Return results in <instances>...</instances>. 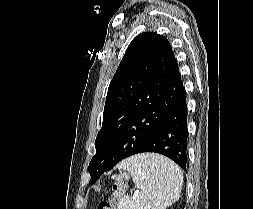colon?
Segmentation results:
<instances>
[{
	"instance_id": "5ec220e1",
	"label": "colon",
	"mask_w": 253,
	"mask_h": 209,
	"mask_svg": "<svg viewBox=\"0 0 253 209\" xmlns=\"http://www.w3.org/2000/svg\"><path fill=\"white\" fill-rule=\"evenodd\" d=\"M128 176L126 174H119L116 176L113 185V193L109 200L103 201L99 204L98 209H114L115 202L123 195L127 185Z\"/></svg>"
}]
</instances>
